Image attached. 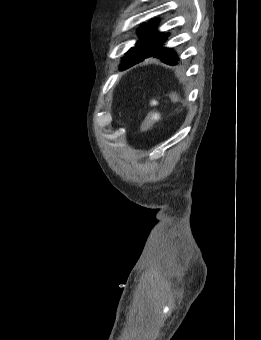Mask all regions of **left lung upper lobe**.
<instances>
[{
    "label": "left lung upper lobe",
    "mask_w": 261,
    "mask_h": 340,
    "mask_svg": "<svg viewBox=\"0 0 261 340\" xmlns=\"http://www.w3.org/2000/svg\"><path fill=\"white\" fill-rule=\"evenodd\" d=\"M138 31L139 33L143 34L136 42L135 47L130 48V50L126 53L127 56L122 58V64L130 63L138 58H141L145 54L160 53L165 49H169L160 47L164 45L163 42L166 41V37L168 34L158 32L155 29V22L144 24L143 26L138 28Z\"/></svg>",
    "instance_id": "obj_1"
}]
</instances>
